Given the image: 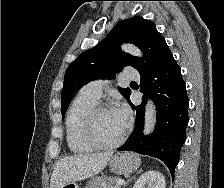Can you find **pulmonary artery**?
<instances>
[{"mask_svg":"<svg viewBox=\"0 0 224 188\" xmlns=\"http://www.w3.org/2000/svg\"><path fill=\"white\" fill-rule=\"evenodd\" d=\"M123 77L126 79L134 80V79H139L140 74L136 69L127 67L124 70ZM106 84L107 82L105 80H101V79L93 80L89 82L88 84H86L83 87L82 91L86 93L87 95L99 100Z\"/></svg>","mask_w":224,"mask_h":188,"instance_id":"obj_1","label":"pulmonary artery"}]
</instances>
